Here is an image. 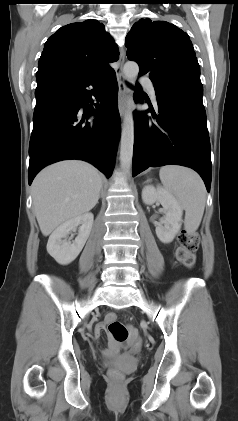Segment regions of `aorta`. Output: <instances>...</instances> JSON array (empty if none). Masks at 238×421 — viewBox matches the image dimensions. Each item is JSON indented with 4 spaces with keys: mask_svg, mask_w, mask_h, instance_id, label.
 I'll return each mask as SVG.
<instances>
[{
    "mask_svg": "<svg viewBox=\"0 0 238 421\" xmlns=\"http://www.w3.org/2000/svg\"><path fill=\"white\" fill-rule=\"evenodd\" d=\"M126 80L133 83L139 73V66L134 61H128L123 67ZM134 144V119L132 110L129 108L124 116L121 133L120 163L124 171L128 172L132 164Z\"/></svg>",
    "mask_w": 238,
    "mask_h": 421,
    "instance_id": "aorta-1",
    "label": "aorta"
}]
</instances>
